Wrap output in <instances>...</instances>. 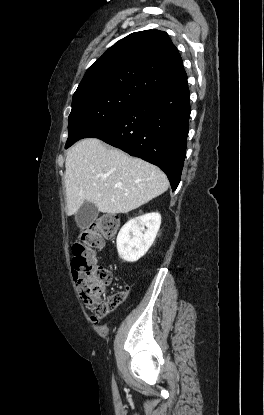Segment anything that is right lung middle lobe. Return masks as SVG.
<instances>
[{
    "mask_svg": "<svg viewBox=\"0 0 264 415\" xmlns=\"http://www.w3.org/2000/svg\"><path fill=\"white\" fill-rule=\"evenodd\" d=\"M141 99L136 94L122 91L73 98L65 148L113 121Z\"/></svg>",
    "mask_w": 264,
    "mask_h": 415,
    "instance_id": "right-lung-middle-lobe-1",
    "label": "right lung middle lobe"
}]
</instances>
